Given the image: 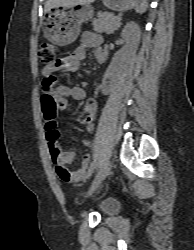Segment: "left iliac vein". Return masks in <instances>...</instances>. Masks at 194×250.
Returning a JSON list of instances; mask_svg holds the SVG:
<instances>
[{
	"instance_id": "4c4485c4",
	"label": "left iliac vein",
	"mask_w": 194,
	"mask_h": 250,
	"mask_svg": "<svg viewBox=\"0 0 194 250\" xmlns=\"http://www.w3.org/2000/svg\"><path fill=\"white\" fill-rule=\"evenodd\" d=\"M111 169V161L107 160L102 167L100 168V170L98 171L90 189H89V195H91L99 186L100 184L103 182V180L106 178V176L108 175L109 171Z\"/></svg>"
}]
</instances>
